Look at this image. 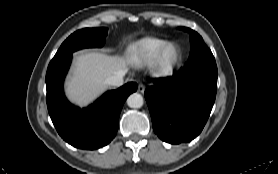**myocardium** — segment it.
Masks as SVG:
<instances>
[{"label":"myocardium","mask_w":278,"mask_h":174,"mask_svg":"<svg viewBox=\"0 0 278 174\" xmlns=\"http://www.w3.org/2000/svg\"><path fill=\"white\" fill-rule=\"evenodd\" d=\"M170 48L177 49V57L175 60L168 63L165 61V54ZM182 59L183 54L180 46L175 42H168L156 54L153 65L159 73L168 75L173 73L180 66Z\"/></svg>","instance_id":"myocardium-1"}]
</instances>
